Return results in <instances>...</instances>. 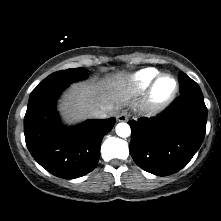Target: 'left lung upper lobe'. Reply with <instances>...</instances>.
Here are the masks:
<instances>
[{
	"label": "left lung upper lobe",
	"instance_id": "5c2ea615",
	"mask_svg": "<svg viewBox=\"0 0 221 221\" xmlns=\"http://www.w3.org/2000/svg\"><path fill=\"white\" fill-rule=\"evenodd\" d=\"M179 85L181 95L188 93L202 94L198 84L183 72L179 74Z\"/></svg>",
	"mask_w": 221,
	"mask_h": 221
}]
</instances>
